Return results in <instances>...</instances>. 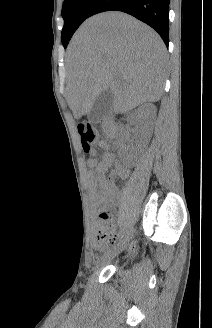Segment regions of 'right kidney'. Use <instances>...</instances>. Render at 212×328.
Segmentation results:
<instances>
[{
	"instance_id": "right-kidney-1",
	"label": "right kidney",
	"mask_w": 212,
	"mask_h": 328,
	"mask_svg": "<svg viewBox=\"0 0 212 328\" xmlns=\"http://www.w3.org/2000/svg\"><path fill=\"white\" fill-rule=\"evenodd\" d=\"M156 117V107L151 103H145L133 111L127 120L132 124H137L139 145L144 144L151 136L154 120Z\"/></svg>"
}]
</instances>
